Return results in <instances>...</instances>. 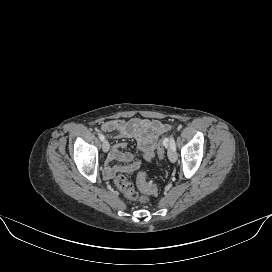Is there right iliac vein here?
Masks as SVG:
<instances>
[{"instance_id": "63e3f726", "label": "right iliac vein", "mask_w": 272, "mask_h": 272, "mask_svg": "<svg viewBox=\"0 0 272 272\" xmlns=\"http://www.w3.org/2000/svg\"><path fill=\"white\" fill-rule=\"evenodd\" d=\"M109 147H110L109 142H108L107 140H103L102 149H103V151H104L105 153L108 152Z\"/></svg>"}]
</instances>
